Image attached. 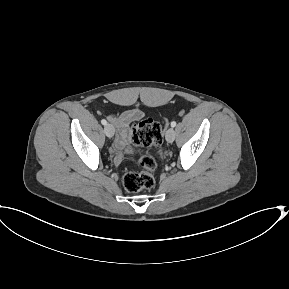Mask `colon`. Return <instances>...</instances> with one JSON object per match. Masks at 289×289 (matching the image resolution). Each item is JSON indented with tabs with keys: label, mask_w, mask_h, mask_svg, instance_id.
<instances>
[{
	"label": "colon",
	"mask_w": 289,
	"mask_h": 289,
	"mask_svg": "<svg viewBox=\"0 0 289 289\" xmlns=\"http://www.w3.org/2000/svg\"><path fill=\"white\" fill-rule=\"evenodd\" d=\"M133 142L140 147L159 146L163 142V130L160 123L151 118L144 119L133 127ZM140 171H127L123 176V186L130 193L150 189L155 184L154 172L156 160L151 155L140 158Z\"/></svg>",
	"instance_id": "obj_1"
}]
</instances>
